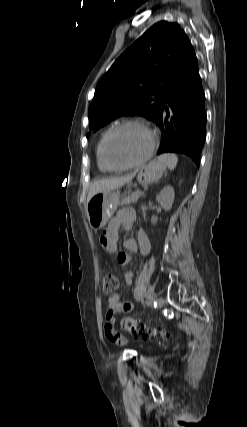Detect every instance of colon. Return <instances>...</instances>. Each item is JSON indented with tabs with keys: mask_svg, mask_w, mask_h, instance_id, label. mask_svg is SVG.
Here are the masks:
<instances>
[{
	"mask_svg": "<svg viewBox=\"0 0 247 427\" xmlns=\"http://www.w3.org/2000/svg\"><path fill=\"white\" fill-rule=\"evenodd\" d=\"M119 286L118 278L113 274H106L103 277V292L105 294H112L114 293ZM121 327L134 334H143V335H153V336H159L161 338H168L169 333L166 331H157V330H151L148 329L144 324H142L140 321H138L134 317H126L121 320Z\"/></svg>",
	"mask_w": 247,
	"mask_h": 427,
	"instance_id": "5ec220e1",
	"label": "colon"
}]
</instances>
